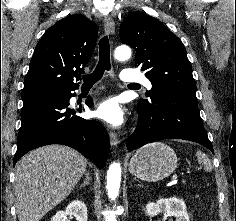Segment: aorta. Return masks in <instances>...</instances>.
Here are the masks:
<instances>
[{
	"label": "aorta",
	"instance_id": "aorta-1",
	"mask_svg": "<svg viewBox=\"0 0 236 221\" xmlns=\"http://www.w3.org/2000/svg\"><path fill=\"white\" fill-rule=\"evenodd\" d=\"M114 56L117 60L123 61L131 57V49L122 45L116 48ZM121 182V165L119 162H114L109 166L107 171V194L111 200H115L119 195Z\"/></svg>",
	"mask_w": 236,
	"mask_h": 221
}]
</instances>
